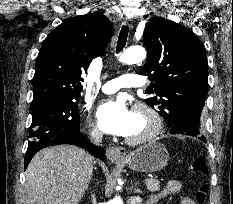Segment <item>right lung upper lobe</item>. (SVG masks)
I'll list each match as a JSON object with an SVG mask.
<instances>
[{
	"instance_id": "obj_1",
	"label": "right lung upper lobe",
	"mask_w": 233,
	"mask_h": 204,
	"mask_svg": "<svg viewBox=\"0 0 233 204\" xmlns=\"http://www.w3.org/2000/svg\"><path fill=\"white\" fill-rule=\"evenodd\" d=\"M113 25L104 15L89 13L70 18L44 40L36 59L32 105L78 99L82 75L106 49Z\"/></svg>"
}]
</instances>
